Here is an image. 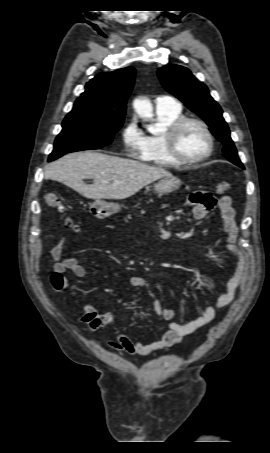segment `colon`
Wrapping results in <instances>:
<instances>
[{"mask_svg":"<svg viewBox=\"0 0 270 453\" xmlns=\"http://www.w3.org/2000/svg\"><path fill=\"white\" fill-rule=\"evenodd\" d=\"M231 189V184L227 181H220L216 185V192L218 194H223L228 192ZM197 200L199 203L205 205L208 209H211L215 205L214 197L206 192H197ZM45 200L48 206L58 210L59 212L64 211V205L61 198L55 193H48L45 196ZM67 223H69L67 221ZM52 285L56 290H62V276L59 274H53L51 277Z\"/></svg>","mask_w":270,"mask_h":453,"instance_id":"colon-1","label":"colon"}]
</instances>
